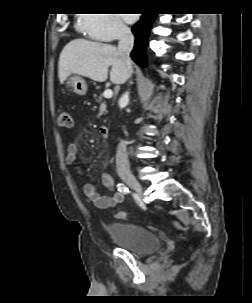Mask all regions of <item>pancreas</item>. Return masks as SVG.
Listing matches in <instances>:
<instances>
[{
    "mask_svg": "<svg viewBox=\"0 0 252 303\" xmlns=\"http://www.w3.org/2000/svg\"><path fill=\"white\" fill-rule=\"evenodd\" d=\"M95 98L96 101L100 103L99 116H102L105 112H107L106 103L103 101V95H95Z\"/></svg>",
    "mask_w": 252,
    "mask_h": 303,
    "instance_id": "cf45deb5",
    "label": "pancreas"
}]
</instances>
